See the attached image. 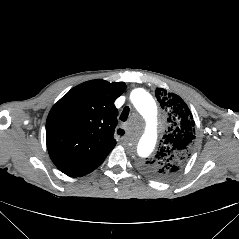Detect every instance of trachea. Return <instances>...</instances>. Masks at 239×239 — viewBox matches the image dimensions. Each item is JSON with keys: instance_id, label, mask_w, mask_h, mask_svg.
I'll use <instances>...</instances> for the list:
<instances>
[{"instance_id": "trachea-1", "label": "trachea", "mask_w": 239, "mask_h": 239, "mask_svg": "<svg viewBox=\"0 0 239 239\" xmlns=\"http://www.w3.org/2000/svg\"><path fill=\"white\" fill-rule=\"evenodd\" d=\"M130 109L129 107H125L120 115L121 121H126L129 115Z\"/></svg>"}]
</instances>
